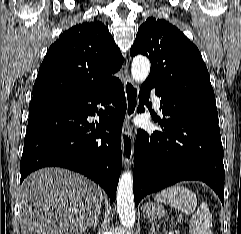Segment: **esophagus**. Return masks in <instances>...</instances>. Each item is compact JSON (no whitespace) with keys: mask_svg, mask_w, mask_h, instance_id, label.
Returning a JSON list of instances; mask_svg holds the SVG:
<instances>
[{"mask_svg":"<svg viewBox=\"0 0 241 234\" xmlns=\"http://www.w3.org/2000/svg\"><path fill=\"white\" fill-rule=\"evenodd\" d=\"M126 113L122 129V152L124 164L130 166L133 157V128L130 126L132 118L135 116L138 107V86L132 80L128 72V63L125 65Z\"/></svg>","mask_w":241,"mask_h":234,"instance_id":"1","label":"esophagus"}]
</instances>
